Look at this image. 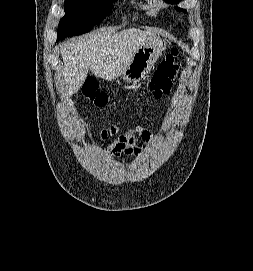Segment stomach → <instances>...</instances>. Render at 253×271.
<instances>
[{
    "label": "stomach",
    "mask_w": 253,
    "mask_h": 271,
    "mask_svg": "<svg viewBox=\"0 0 253 271\" xmlns=\"http://www.w3.org/2000/svg\"><path fill=\"white\" fill-rule=\"evenodd\" d=\"M162 51L163 43L160 39L142 44L133 55L130 64L122 72V79L129 83L140 81L150 72Z\"/></svg>",
    "instance_id": "stomach-1"
}]
</instances>
